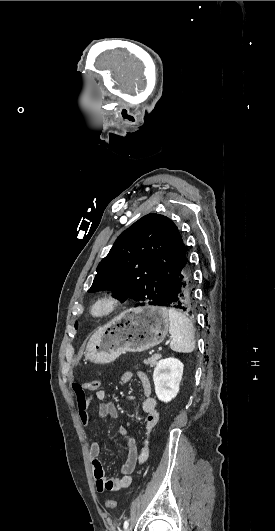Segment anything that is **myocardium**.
<instances>
[{
  "mask_svg": "<svg viewBox=\"0 0 275 531\" xmlns=\"http://www.w3.org/2000/svg\"><path fill=\"white\" fill-rule=\"evenodd\" d=\"M119 300L113 294H104L94 299L88 306V316L99 320L111 315L118 307Z\"/></svg>",
  "mask_w": 275,
  "mask_h": 531,
  "instance_id": "1",
  "label": "myocardium"
}]
</instances>
